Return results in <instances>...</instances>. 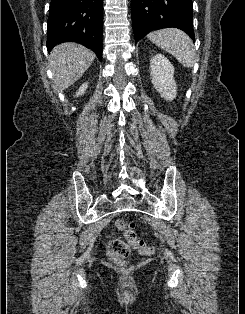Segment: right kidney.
<instances>
[{
  "label": "right kidney",
  "instance_id": "1",
  "mask_svg": "<svg viewBox=\"0 0 245 314\" xmlns=\"http://www.w3.org/2000/svg\"><path fill=\"white\" fill-rule=\"evenodd\" d=\"M88 88V83L82 84V86L79 88V90L76 92V96H81L85 93L86 89Z\"/></svg>",
  "mask_w": 245,
  "mask_h": 314
}]
</instances>
